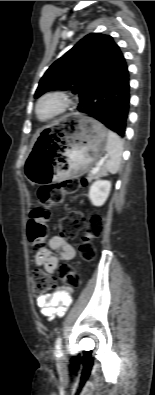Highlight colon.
Masks as SVG:
<instances>
[{
    "instance_id": "5ec220e1",
    "label": "colon",
    "mask_w": 155,
    "mask_h": 395,
    "mask_svg": "<svg viewBox=\"0 0 155 395\" xmlns=\"http://www.w3.org/2000/svg\"><path fill=\"white\" fill-rule=\"evenodd\" d=\"M80 187L76 179H68L58 184L43 185L38 188L37 196L41 209L36 211L28 222L27 235L34 247L42 248L46 239V224L44 216L47 210L62 203L64 197L75 193ZM85 220L78 211L69 212L59 223L61 234L67 238H74L84 227ZM104 225L99 215H94L85 225V235L79 246V254L82 261L90 262L96 256L93 240L101 237ZM77 268H59L60 281H66L70 288L79 285ZM53 279L42 270L34 271L32 275V289L37 295L48 292L53 287Z\"/></svg>"
}]
</instances>
